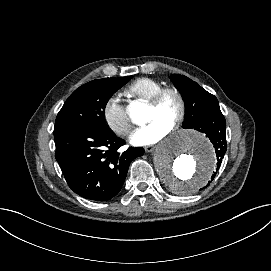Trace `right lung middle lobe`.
Returning a JSON list of instances; mask_svg holds the SVG:
<instances>
[{
	"mask_svg": "<svg viewBox=\"0 0 271 271\" xmlns=\"http://www.w3.org/2000/svg\"><path fill=\"white\" fill-rule=\"evenodd\" d=\"M130 79L131 76L98 79L76 89L57 115L54 136L73 129L108 131L104 115L106 104Z\"/></svg>",
	"mask_w": 271,
	"mask_h": 271,
	"instance_id": "1",
	"label": "right lung middle lobe"
}]
</instances>
